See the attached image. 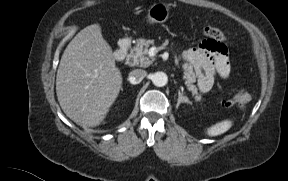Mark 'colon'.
<instances>
[{
    "label": "colon",
    "mask_w": 288,
    "mask_h": 181,
    "mask_svg": "<svg viewBox=\"0 0 288 181\" xmlns=\"http://www.w3.org/2000/svg\"><path fill=\"white\" fill-rule=\"evenodd\" d=\"M208 35L210 36V39L207 41V44L212 47L215 50L223 51L224 50V34L223 32L218 28H210L207 31ZM240 93L235 91L231 94L230 98L226 101L227 105H232L237 98L239 97Z\"/></svg>",
    "instance_id": "1"
}]
</instances>
